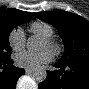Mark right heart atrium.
<instances>
[{
	"label": "right heart atrium",
	"mask_w": 89,
	"mask_h": 89,
	"mask_svg": "<svg viewBox=\"0 0 89 89\" xmlns=\"http://www.w3.org/2000/svg\"><path fill=\"white\" fill-rule=\"evenodd\" d=\"M8 40L10 47L14 51H19L25 46V34L20 28L13 29L9 34Z\"/></svg>",
	"instance_id": "obj_1"
}]
</instances>
